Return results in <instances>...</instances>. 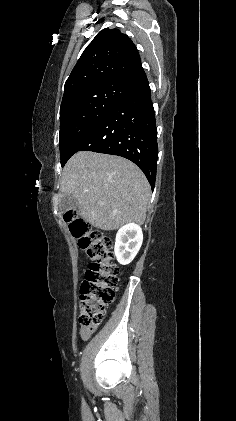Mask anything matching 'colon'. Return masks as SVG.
Returning <instances> with one entry per match:
<instances>
[{
    "instance_id": "colon-1",
    "label": "colon",
    "mask_w": 236,
    "mask_h": 421,
    "mask_svg": "<svg viewBox=\"0 0 236 421\" xmlns=\"http://www.w3.org/2000/svg\"><path fill=\"white\" fill-rule=\"evenodd\" d=\"M64 218L89 260L80 287L79 324L82 330L92 331L115 299L119 268L113 262L112 241L108 236L92 228L76 211L67 212Z\"/></svg>"
}]
</instances>
